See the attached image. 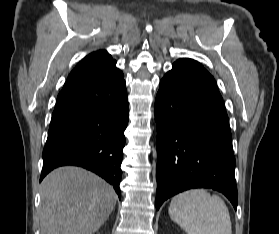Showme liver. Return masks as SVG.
<instances>
[{
	"instance_id": "obj_1",
	"label": "liver",
	"mask_w": 279,
	"mask_h": 234,
	"mask_svg": "<svg viewBox=\"0 0 279 234\" xmlns=\"http://www.w3.org/2000/svg\"><path fill=\"white\" fill-rule=\"evenodd\" d=\"M117 195L108 183L79 167H60L41 188V234H93L113 211Z\"/></svg>"
}]
</instances>
